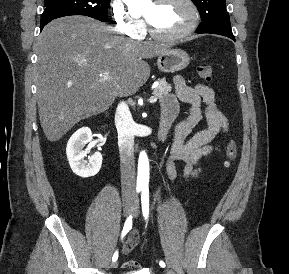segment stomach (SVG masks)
<instances>
[{"label":"stomach","instance_id":"stomach-1","mask_svg":"<svg viewBox=\"0 0 289 274\" xmlns=\"http://www.w3.org/2000/svg\"><path fill=\"white\" fill-rule=\"evenodd\" d=\"M188 54L181 49H168L158 55L157 67L165 73H174L186 68L189 65Z\"/></svg>","mask_w":289,"mask_h":274}]
</instances>
